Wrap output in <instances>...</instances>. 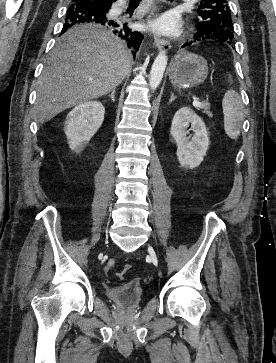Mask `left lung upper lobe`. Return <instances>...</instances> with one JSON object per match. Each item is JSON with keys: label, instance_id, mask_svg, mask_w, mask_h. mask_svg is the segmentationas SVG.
Here are the masks:
<instances>
[{"label": "left lung upper lobe", "instance_id": "obj_1", "mask_svg": "<svg viewBox=\"0 0 276 363\" xmlns=\"http://www.w3.org/2000/svg\"><path fill=\"white\" fill-rule=\"evenodd\" d=\"M196 28L208 38L231 42L233 23L227 0H202Z\"/></svg>", "mask_w": 276, "mask_h": 363}]
</instances>
